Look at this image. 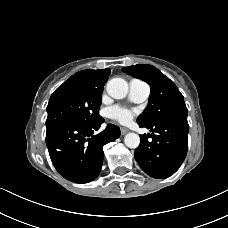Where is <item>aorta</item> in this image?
I'll return each mask as SVG.
<instances>
[{
  "mask_svg": "<svg viewBox=\"0 0 228 228\" xmlns=\"http://www.w3.org/2000/svg\"><path fill=\"white\" fill-rule=\"evenodd\" d=\"M107 93L114 99H122L128 93V84L122 78H113L107 82ZM124 143L129 148H137L140 144V137L136 133H128L124 137Z\"/></svg>",
  "mask_w": 228,
  "mask_h": 228,
  "instance_id": "obj_1",
  "label": "aorta"
}]
</instances>
